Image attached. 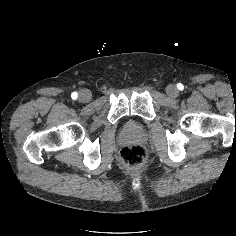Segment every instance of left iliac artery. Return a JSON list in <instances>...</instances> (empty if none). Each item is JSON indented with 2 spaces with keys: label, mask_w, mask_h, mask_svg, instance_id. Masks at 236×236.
Instances as JSON below:
<instances>
[{
  "label": "left iliac artery",
  "mask_w": 236,
  "mask_h": 236,
  "mask_svg": "<svg viewBox=\"0 0 236 236\" xmlns=\"http://www.w3.org/2000/svg\"><path fill=\"white\" fill-rule=\"evenodd\" d=\"M177 87L179 90H182L184 86L181 83H179Z\"/></svg>",
  "instance_id": "left-iliac-artery-1"
}]
</instances>
